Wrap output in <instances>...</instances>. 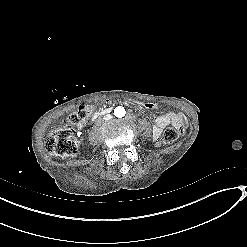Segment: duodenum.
<instances>
[{
  "mask_svg": "<svg viewBox=\"0 0 247 247\" xmlns=\"http://www.w3.org/2000/svg\"><path fill=\"white\" fill-rule=\"evenodd\" d=\"M110 112H111V108H107V109H102V110L96 111L92 115V120H95V119L99 118L100 116H103V115L108 114Z\"/></svg>",
  "mask_w": 247,
  "mask_h": 247,
  "instance_id": "410a0bca",
  "label": "duodenum"
}]
</instances>
